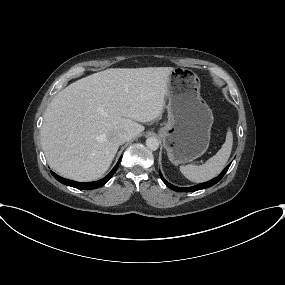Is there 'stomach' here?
Returning a JSON list of instances; mask_svg holds the SVG:
<instances>
[{
    "label": "stomach",
    "instance_id": "1",
    "mask_svg": "<svg viewBox=\"0 0 285 285\" xmlns=\"http://www.w3.org/2000/svg\"><path fill=\"white\" fill-rule=\"evenodd\" d=\"M168 121L159 136L169 160L185 164L203 155L208 149L213 114L200 96V79L192 71L174 68L167 90Z\"/></svg>",
    "mask_w": 285,
    "mask_h": 285
}]
</instances>
